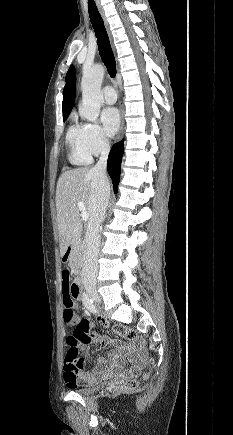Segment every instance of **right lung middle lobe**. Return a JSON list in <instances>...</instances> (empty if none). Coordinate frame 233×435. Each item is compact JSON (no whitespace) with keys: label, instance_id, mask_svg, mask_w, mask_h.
I'll list each match as a JSON object with an SVG mask.
<instances>
[{"label":"right lung middle lobe","instance_id":"right-lung-middle-lobe-1","mask_svg":"<svg viewBox=\"0 0 233 435\" xmlns=\"http://www.w3.org/2000/svg\"><path fill=\"white\" fill-rule=\"evenodd\" d=\"M67 117H68V115H66V116H63V120L65 121Z\"/></svg>","mask_w":233,"mask_h":435}]
</instances>
